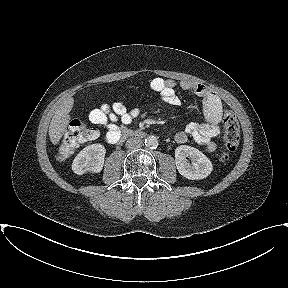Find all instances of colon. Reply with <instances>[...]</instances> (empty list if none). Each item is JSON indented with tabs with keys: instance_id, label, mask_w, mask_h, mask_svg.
<instances>
[{
	"instance_id": "5ec220e1",
	"label": "colon",
	"mask_w": 288,
	"mask_h": 288,
	"mask_svg": "<svg viewBox=\"0 0 288 288\" xmlns=\"http://www.w3.org/2000/svg\"><path fill=\"white\" fill-rule=\"evenodd\" d=\"M224 149L220 154V159L226 161L229 159L239 144L240 129L235 115L229 111L224 110ZM98 132L87 126L81 120H72L66 128L58 147V157L61 160L67 159L73 152L84 142L95 139Z\"/></svg>"
}]
</instances>
